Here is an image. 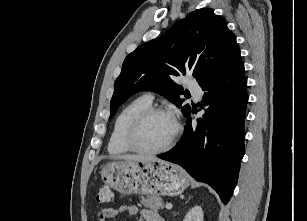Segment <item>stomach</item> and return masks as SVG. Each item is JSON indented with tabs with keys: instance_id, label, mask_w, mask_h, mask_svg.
Listing matches in <instances>:
<instances>
[{
	"instance_id": "stomach-1",
	"label": "stomach",
	"mask_w": 307,
	"mask_h": 221,
	"mask_svg": "<svg viewBox=\"0 0 307 221\" xmlns=\"http://www.w3.org/2000/svg\"><path fill=\"white\" fill-rule=\"evenodd\" d=\"M102 180L121 194H181L189 179L179 166L161 161H114L102 168Z\"/></svg>"
}]
</instances>
